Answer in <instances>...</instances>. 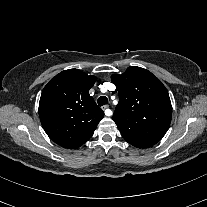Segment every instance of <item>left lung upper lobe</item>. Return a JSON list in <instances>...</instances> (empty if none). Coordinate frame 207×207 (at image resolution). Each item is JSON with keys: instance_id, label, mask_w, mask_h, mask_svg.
Listing matches in <instances>:
<instances>
[{"instance_id": "left-lung-upper-lobe-1", "label": "left lung upper lobe", "mask_w": 207, "mask_h": 207, "mask_svg": "<svg viewBox=\"0 0 207 207\" xmlns=\"http://www.w3.org/2000/svg\"><path fill=\"white\" fill-rule=\"evenodd\" d=\"M111 79L119 92L112 119L123 138L138 148L153 146L171 122V101L165 86L151 72L136 66Z\"/></svg>"}]
</instances>
